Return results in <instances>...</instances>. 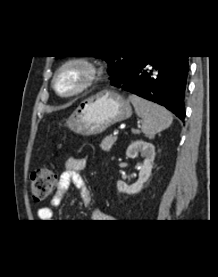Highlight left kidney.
Returning <instances> with one entry per match:
<instances>
[{
    "mask_svg": "<svg viewBox=\"0 0 218 277\" xmlns=\"http://www.w3.org/2000/svg\"><path fill=\"white\" fill-rule=\"evenodd\" d=\"M138 153L144 157L141 164H137L139 169V178L137 182L128 186L124 181H117V189L121 193L136 194L141 191L143 184L149 179L152 171V164L155 158V147L153 144L138 140L132 143L126 150V156L135 158Z\"/></svg>",
    "mask_w": 218,
    "mask_h": 277,
    "instance_id": "5707ae66",
    "label": "left kidney"
}]
</instances>
